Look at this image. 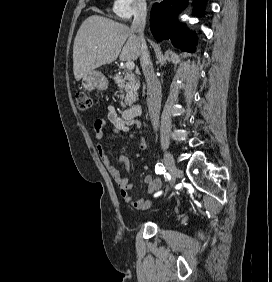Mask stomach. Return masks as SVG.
<instances>
[{
	"mask_svg": "<svg viewBox=\"0 0 272 282\" xmlns=\"http://www.w3.org/2000/svg\"><path fill=\"white\" fill-rule=\"evenodd\" d=\"M82 86L88 91L93 89L104 90L108 87V81L101 72L93 70L83 76Z\"/></svg>",
	"mask_w": 272,
	"mask_h": 282,
	"instance_id": "1",
	"label": "stomach"
}]
</instances>
